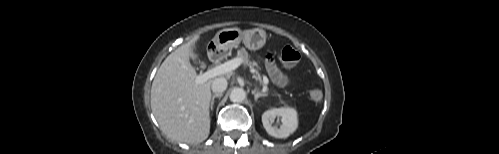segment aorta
Returning <instances> with one entry per match:
<instances>
[{
    "label": "aorta",
    "mask_w": 499,
    "mask_h": 154,
    "mask_svg": "<svg viewBox=\"0 0 499 154\" xmlns=\"http://www.w3.org/2000/svg\"><path fill=\"white\" fill-rule=\"evenodd\" d=\"M245 97H246V93L241 88H234L230 93V100L232 102L240 103L245 99Z\"/></svg>",
    "instance_id": "762f6f07"
}]
</instances>
